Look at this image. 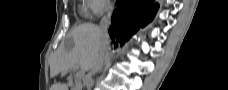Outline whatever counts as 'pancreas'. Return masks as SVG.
I'll return each mask as SVG.
<instances>
[{"label": "pancreas", "instance_id": "1", "mask_svg": "<svg viewBox=\"0 0 228 90\" xmlns=\"http://www.w3.org/2000/svg\"><path fill=\"white\" fill-rule=\"evenodd\" d=\"M80 86H81L80 83L77 84L75 89H78L79 90L80 89Z\"/></svg>", "mask_w": 228, "mask_h": 90}]
</instances>
